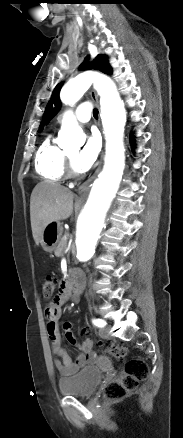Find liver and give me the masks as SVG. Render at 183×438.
<instances>
[{
	"instance_id": "6515ba94",
	"label": "liver",
	"mask_w": 183,
	"mask_h": 438,
	"mask_svg": "<svg viewBox=\"0 0 183 438\" xmlns=\"http://www.w3.org/2000/svg\"><path fill=\"white\" fill-rule=\"evenodd\" d=\"M73 199V192L58 184L41 182L35 186L30 199V218L37 245L50 223L65 220L73 214Z\"/></svg>"
}]
</instances>
